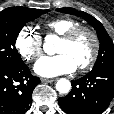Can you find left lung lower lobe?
<instances>
[{
  "label": "left lung lower lobe",
  "instance_id": "obj_1",
  "mask_svg": "<svg viewBox=\"0 0 114 114\" xmlns=\"http://www.w3.org/2000/svg\"><path fill=\"white\" fill-rule=\"evenodd\" d=\"M71 84V92L59 98L60 108L68 114H101L114 97V67L92 70Z\"/></svg>",
  "mask_w": 114,
  "mask_h": 114
}]
</instances>
